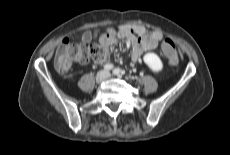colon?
Returning <instances> with one entry per match:
<instances>
[{
	"mask_svg": "<svg viewBox=\"0 0 230 155\" xmlns=\"http://www.w3.org/2000/svg\"><path fill=\"white\" fill-rule=\"evenodd\" d=\"M161 49L164 54H167L168 67L175 69L178 66V53L173 41L170 39L165 40L161 44ZM104 54L105 47L100 42L93 44L62 42L55 54L54 64L60 73L67 75L70 71L71 63H86L90 59L99 60Z\"/></svg>",
	"mask_w": 230,
	"mask_h": 155,
	"instance_id": "5ec220e1",
	"label": "colon"
}]
</instances>
